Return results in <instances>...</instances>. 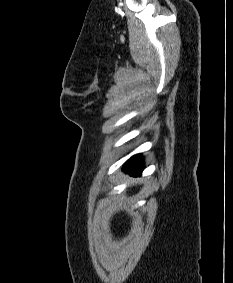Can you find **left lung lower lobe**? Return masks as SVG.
Returning a JSON list of instances; mask_svg holds the SVG:
<instances>
[{
	"label": "left lung lower lobe",
	"mask_w": 233,
	"mask_h": 283,
	"mask_svg": "<svg viewBox=\"0 0 233 283\" xmlns=\"http://www.w3.org/2000/svg\"><path fill=\"white\" fill-rule=\"evenodd\" d=\"M123 170L128 172L132 176H140L142 172V158L140 155H135L131 159H129Z\"/></svg>",
	"instance_id": "1"
}]
</instances>
